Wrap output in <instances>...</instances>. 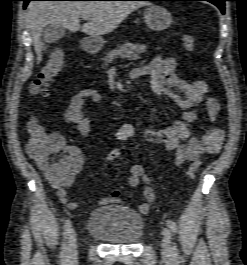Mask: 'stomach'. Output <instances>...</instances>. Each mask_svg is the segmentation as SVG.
<instances>
[{"label": "stomach", "mask_w": 247, "mask_h": 265, "mask_svg": "<svg viewBox=\"0 0 247 265\" xmlns=\"http://www.w3.org/2000/svg\"><path fill=\"white\" fill-rule=\"evenodd\" d=\"M144 19L146 25L153 31H161L168 28L172 24V16L167 9L158 5H150L144 11ZM98 44L95 46L100 48L103 44V40H98Z\"/></svg>", "instance_id": "stomach-1"}]
</instances>
